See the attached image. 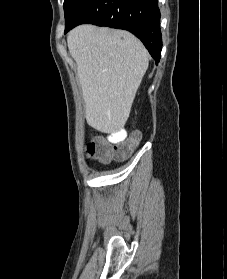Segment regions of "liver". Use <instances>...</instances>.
Instances as JSON below:
<instances>
[{"mask_svg":"<svg viewBox=\"0 0 227 279\" xmlns=\"http://www.w3.org/2000/svg\"><path fill=\"white\" fill-rule=\"evenodd\" d=\"M89 126L114 133L122 129L148 68L149 54L134 35L93 25H80L67 37Z\"/></svg>","mask_w":227,"mask_h":279,"instance_id":"6515ba94","label":"liver"}]
</instances>
